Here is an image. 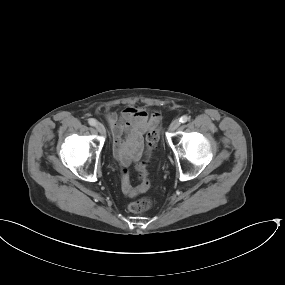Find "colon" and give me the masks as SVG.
Wrapping results in <instances>:
<instances>
[{
  "label": "colon",
  "mask_w": 285,
  "mask_h": 285,
  "mask_svg": "<svg viewBox=\"0 0 285 285\" xmlns=\"http://www.w3.org/2000/svg\"><path fill=\"white\" fill-rule=\"evenodd\" d=\"M158 139H159V132L156 129H152L146 134L145 159L140 161L137 165V170L140 180L139 188L144 191H146L149 187V178L146 166L148 164V159L151 153L154 151L156 147ZM122 188L124 190L130 189L128 171L126 169L122 171ZM151 206H152V200L150 198H141L139 200L130 202L127 208L131 213L141 214L149 210Z\"/></svg>",
  "instance_id": "1"
}]
</instances>
